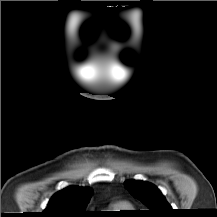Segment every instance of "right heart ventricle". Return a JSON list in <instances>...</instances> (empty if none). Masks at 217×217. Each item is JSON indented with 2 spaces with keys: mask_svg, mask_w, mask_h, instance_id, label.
I'll use <instances>...</instances> for the list:
<instances>
[{
  "mask_svg": "<svg viewBox=\"0 0 217 217\" xmlns=\"http://www.w3.org/2000/svg\"><path fill=\"white\" fill-rule=\"evenodd\" d=\"M108 209L111 212L119 213L132 209V206L127 202H116L111 204Z\"/></svg>",
  "mask_w": 217,
  "mask_h": 217,
  "instance_id": "1",
  "label": "right heart ventricle"
}]
</instances>
